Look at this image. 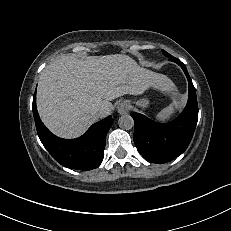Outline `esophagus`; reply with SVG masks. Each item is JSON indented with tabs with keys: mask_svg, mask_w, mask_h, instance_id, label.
<instances>
[{
	"mask_svg": "<svg viewBox=\"0 0 231 231\" xmlns=\"http://www.w3.org/2000/svg\"><path fill=\"white\" fill-rule=\"evenodd\" d=\"M130 105L126 101H121L117 105V112L119 114H126L129 112Z\"/></svg>",
	"mask_w": 231,
	"mask_h": 231,
	"instance_id": "1",
	"label": "esophagus"
}]
</instances>
